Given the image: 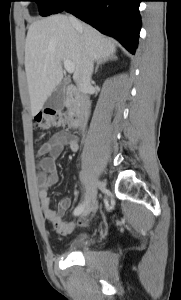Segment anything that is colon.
Segmentation results:
<instances>
[{"mask_svg":"<svg viewBox=\"0 0 181 300\" xmlns=\"http://www.w3.org/2000/svg\"><path fill=\"white\" fill-rule=\"evenodd\" d=\"M34 125L37 129L45 131L51 128H66L68 121L67 116L62 112L46 108L35 116Z\"/></svg>","mask_w":181,"mask_h":300,"instance_id":"obj_1","label":"colon"}]
</instances>
